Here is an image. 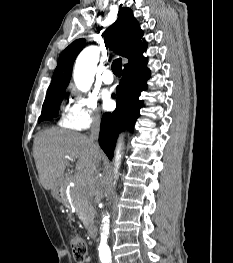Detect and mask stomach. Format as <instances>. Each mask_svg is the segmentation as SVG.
<instances>
[{
  "instance_id": "stomach-1",
  "label": "stomach",
  "mask_w": 233,
  "mask_h": 263,
  "mask_svg": "<svg viewBox=\"0 0 233 263\" xmlns=\"http://www.w3.org/2000/svg\"><path fill=\"white\" fill-rule=\"evenodd\" d=\"M52 194L60 202H66L64 180L60 179L56 182L54 188L52 189Z\"/></svg>"
}]
</instances>
